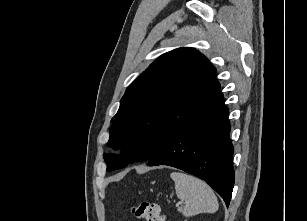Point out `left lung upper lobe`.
<instances>
[{
    "label": "left lung upper lobe",
    "instance_id": "left-lung-upper-lobe-1",
    "mask_svg": "<svg viewBox=\"0 0 307 221\" xmlns=\"http://www.w3.org/2000/svg\"><path fill=\"white\" fill-rule=\"evenodd\" d=\"M216 69L193 48L161 55L127 88L112 118L108 146L122 155L104 154L107 171L148 161L178 131L221 97Z\"/></svg>",
    "mask_w": 307,
    "mask_h": 221
}]
</instances>
